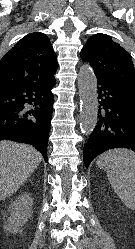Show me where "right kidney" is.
I'll return each mask as SVG.
<instances>
[{
  "label": "right kidney",
  "mask_w": 135,
  "mask_h": 249,
  "mask_svg": "<svg viewBox=\"0 0 135 249\" xmlns=\"http://www.w3.org/2000/svg\"><path fill=\"white\" fill-rule=\"evenodd\" d=\"M33 199L30 194H23L9 206L10 217L7 219V229L17 233L32 215Z\"/></svg>",
  "instance_id": "ca27d5eb"
}]
</instances>
